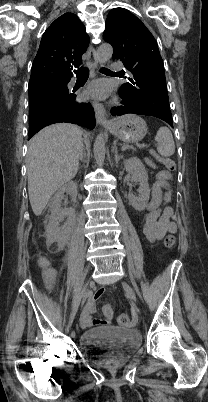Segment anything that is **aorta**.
<instances>
[{"label":"aorta","mask_w":208,"mask_h":402,"mask_svg":"<svg viewBox=\"0 0 208 402\" xmlns=\"http://www.w3.org/2000/svg\"><path fill=\"white\" fill-rule=\"evenodd\" d=\"M112 54L113 48L110 44H101L96 52L95 60L97 64H105V62H108L112 58ZM93 152L96 162H104L106 152L104 134L97 136Z\"/></svg>","instance_id":"1"}]
</instances>
